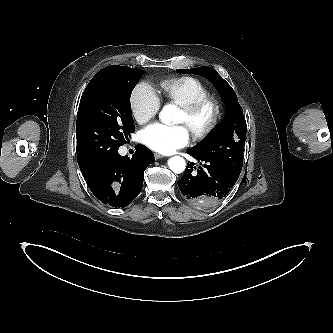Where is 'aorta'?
<instances>
[{
	"mask_svg": "<svg viewBox=\"0 0 333 333\" xmlns=\"http://www.w3.org/2000/svg\"><path fill=\"white\" fill-rule=\"evenodd\" d=\"M178 114V108L174 105H165L159 114L161 122L171 124L174 122L175 116ZM168 166L174 173H182L185 170V160L180 156L171 157L168 160Z\"/></svg>",
	"mask_w": 333,
	"mask_h": 333,
	"instance_id": "obj_1",
	"label": "aorta"
}]
</instances>
